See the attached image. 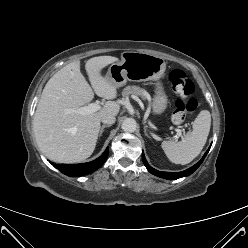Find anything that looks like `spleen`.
Listing matches in <instances>:
<instances>
[{
    "instance_id": "obj_1",
    "label": "spleen",
    "mask_w": 248,
    "mask_h": 248,
    "mask_svg": "<svg viewBox=\"0 0 248 248\" xmlns=\"http://www.w3.org/2000/svg\"><path fill=\"white\" fill-rule=\"evenodd\" d=\"M211 126V114L201 111L193 122V131L181 141H163L161 147L168 159L175 164L185 165L194 160L206 144Z\"/></svg>"
}]
</instances>
